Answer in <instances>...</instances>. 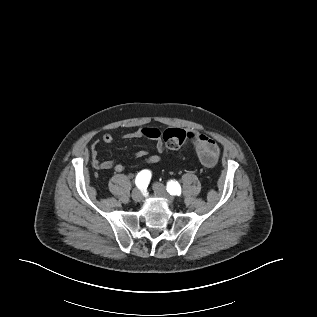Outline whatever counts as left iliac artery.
Returning <instances> with one entry per match:
<instances>
[{
    "label": "left iliac artery",
    "mask_w": 317,
    "mask_h": 317,
    "mask_svg": "<svg viewBox=\"0 0 317 317\" xmlns=\"http://www.w3.org/2000/svg\"><path fill=\"white\" fill-rule=\"evenodd\" d=\"M167 191L171 195H180L181 194V187L177 181L171 180L167 183Z\"/></svg>",
    "instance_id": "1"
}]
</instances>
